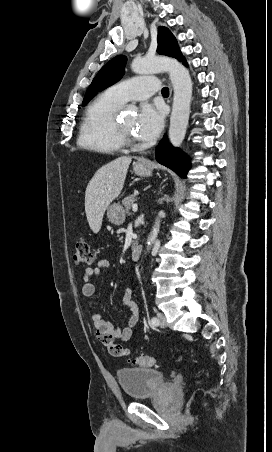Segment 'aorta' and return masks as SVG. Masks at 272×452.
Wrapping results in <instances>:
<instances>
[{"instance_id":"762f6f07","label":"aorta","mask_w":272,"mask_h":452,"mask_svg":"<svg viewBox=\"0 0 272 452\" xmlns=\"http://www.w3.org/2000/svg\"><path fill=\"white\" fill-rule=\"evenodd\" d=\"M131 68L137 74L162 71L169 73L174 89L169 139L173 146L179 147L185 138L192 100V81L189 71L179 61L169 57L136 58L133 60ZM163 215L164 212L160 211L155 220L147 240V250L151 248L158 236L160 219Z\"/></svg>"}]
</instances>
